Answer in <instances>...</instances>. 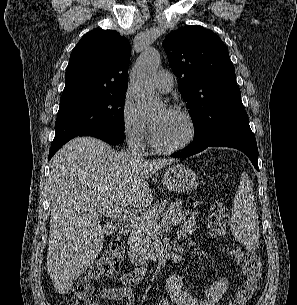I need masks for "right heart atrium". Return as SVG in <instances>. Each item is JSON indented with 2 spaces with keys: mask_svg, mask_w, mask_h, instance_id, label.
Segmentation results:
<instances>
[{
  "mask_svg": "<svg viewBox=\"0 0 297 305\" xmlns=\"http://www.w3.org/2000/svg\"><path fill=\"white\" fill-rule=\"evenodd\" d=\"M121 130L131 148L140 150L145 146L149 134L148 126L128 94L121 106Z\"/></svg>",
  "mask_w": 297,
  "mask_h": 305,
  "instance_id": "obj_1",
  "label": "right heart atrium"
}]
</instances>
